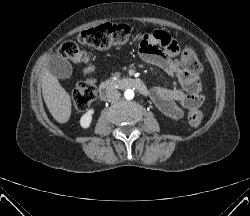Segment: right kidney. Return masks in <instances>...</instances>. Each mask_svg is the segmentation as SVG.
<instances>
[{
  "mask_svg": "<svg viewBox=\"0 0 250 216\" xmlns=\"http://www.w3.org/2000/svg\"><path fill=\"white\" fill-rule=\"evenodd\" d=\"M94 114V109H89L80 119V125L82 128H89L92 122V116Z\"/></svg>",
  "mask_w": 250,
  "mask_h": 216,
  "instance_id": "ca27d5eb",
  "label": "right kidney"
}]
</instances>
